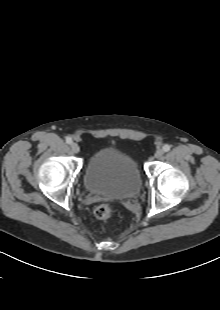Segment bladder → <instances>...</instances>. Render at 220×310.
Returning a JSON list of instances; mask_svg holds the SVG:
<instances>
[{
    "instance_id": "1",
    "label": "bladder",
    "mask_w": 220,
    "mask_h": 310,
    "mask_svg": "<svg viewBox=\"0 0 220 310\" xmlns=\"http://www.w3.org/2000/svg\"><path fill=\"white\" fill-rule=\"evenodd\" d=\"M86 190L111 199H129L142 186L139 166L130 155L113 146L96 150L89 158L83 174Z\"/></svg>"
}]
</instances>
